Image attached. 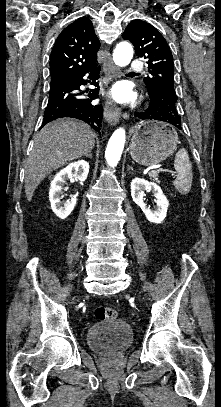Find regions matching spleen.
<instances>
[{"instance_id": "3e777b00", "label": "spleen", "mask_w": 221, "mask_h": 407, "mask_svg": "<svg viewBox=\"0 0 221 407\" xmlns=\"http://www.w3.org/2000/svg\"><path fill=\"white\" fill-rule=\"evenodd\" d=\"M174 167L177 171L173 185L179 193L186 195L191 190L193 173L192 165L186 149L181 148L175 155Z\"/></svg>"}]
</instances>
